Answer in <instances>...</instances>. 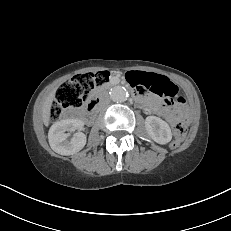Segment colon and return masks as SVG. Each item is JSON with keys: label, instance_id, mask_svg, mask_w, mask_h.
I'll list each match as a JSON object with an SVG mask.
<instances>
[{"label": "colon", "instance_id": "colon-1", "mask_svg": "<svg viewBox=\"0 0 231 231\" xmlns=\"http://www.w3.org/2000/svg\"><path fill=\"white\" fill-rule=\"evenodd\" d=\"M109 78V72L99 71L79 74L63 83L57 90L55 99L50 106V120L59 119L63 112L67 109L81 107L83 103L89 98L92 91L96 88L104 86L109 81ZM132 78L137 81L140 79V76L134 75ZM132 86L137 87V84L133 82ZM175 94L176 93H173L169 95V97L172 98L175 96ZM174 131L175 141L172 143V146L176 147L185 136V121L178 120L175 123Z\"/></svg>", "mask_w": 231, "mask_h": 231}]
</instances>
